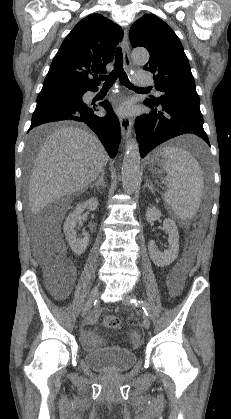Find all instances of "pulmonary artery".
<instances>
[{
  "mask_svg": "<svg viewBox=\"0 0 231 419\" xmlns=\"http://www.w3.org/2000/svg\"><path fill=\"white\" fill-rule=\"evenodd\" d=\"M133 80H134L135 83H137L139 85H143V86H148V85L152 84L151 78H149L145 74H141V73H135L133 75ZM157 95L160 96L161 92L157 91Z\"/></svg>",
  "mask_w": 231,
  "mask_h": 419,
  "instance_id": "obj_1",
  "label": "pulmonary artery"
}]
</instances>
